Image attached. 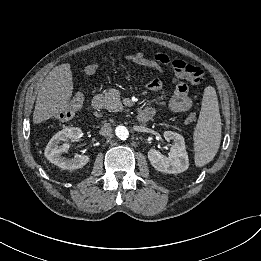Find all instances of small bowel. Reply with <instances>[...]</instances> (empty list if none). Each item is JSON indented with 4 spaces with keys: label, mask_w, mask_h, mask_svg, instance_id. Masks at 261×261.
<instances>
[{
    "label": "small bowel",
    "mask_w": 261,
    "mask_h": 261,
    "mask_svg": "<svg viewBox=\"0 0 261 261\" xmlns=\"http://www.w3.org/2000/svg\"><path fill=\"white\" fill-rule=\"evenodd\" d=\"M130 59L140 66H145L146 62L149 61L144 52H136L131 55ZM154 60L156 63L167 64L170 58L165 54H156ZM98 68L97 62H90L84 67V74L93 75L98 71ZM147 87L152 92H158L163 89V82L161 79L154 77L149 81ZM192 104L193 100L189 95L188 84L180 80H174V92L169 101V107L175 112H185L191 108Z\"/></svg>",
    "instance_id": "obj_1"
}]
</instances>
